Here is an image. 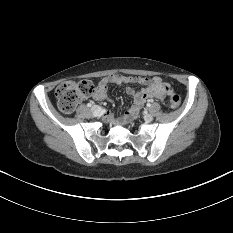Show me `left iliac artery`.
Returning <instances> with one entry per match:
<instances>
[{
    "instance_id": "left-iliac-artery-1",
    "label": "left iliac artery",
    "mask_w": 233,
    "mask_h": 233,
    "mask_svg": "<svg viewBox=\"0 0 233 233\" xmlns=\"http://www.w3.org/2000/svg\"><path fill=\"white\" fill-rule=\"evenodd\" d=\"M151 106V104L150 103H147V107H150Z\"/></svg>"
}]
</instances>
